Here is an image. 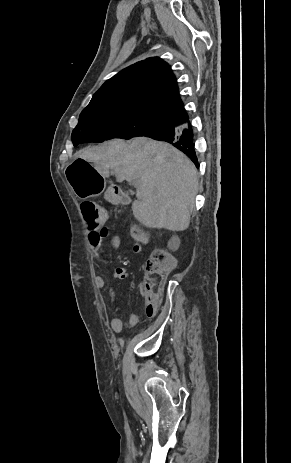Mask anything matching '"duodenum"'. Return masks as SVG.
I'll use <instances>...</instances> for the list:
<instances>
[{"label": "duodenum", "mask_w": 291, "mask_h": 463, "mask_svg": "<svg viewBox=\"0 0 291 463\" xmlns=\"http://www.w3.org/2000/svg\"><path fill=\"white\" fill-rule=\"evenodd\" d=\"M114 195L116 196L117 200L120 202V203H125L127 201V198L125 195H123L120 191L116 190L114 192Z\"/></svg>", "instance_id": "duodenum-1"}]
</instances>
